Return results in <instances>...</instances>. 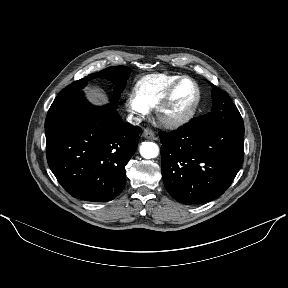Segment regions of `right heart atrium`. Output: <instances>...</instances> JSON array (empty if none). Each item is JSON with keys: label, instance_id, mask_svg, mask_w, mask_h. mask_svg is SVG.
Here are the masks:
<instances>
[{"label": "right heart atrium", "instance_id": "right-heart-atrium-1", "mask_svg": "<svg viewBox=\"0 0 288 288\" xmlns=\"http://www.w3.org/2000/svg\"><path fill=\"white\" fill-rule=\"evenodd\" d=\"M125 108L131 115L136 117H145L150 112V109L142 103L134 92L127 95Z\"/></svg>", "mask_w": 288, "mask_h": 288}]
</instances>
